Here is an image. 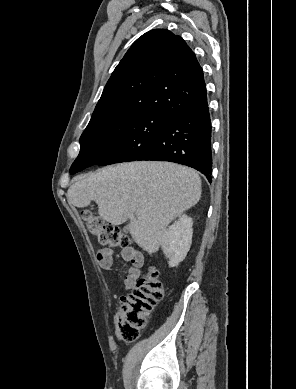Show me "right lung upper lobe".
<instances>
[{
    "label": "right lung upper lobe",
    "mask_w": 296,
    "mask_h": 389,
    "mask_svg": "<svg viewBox=\"0 0 296 389\" xmlns=\"http://www.w3.org/2000/svg\"><path fill=\"white\" fill-rule=\"evenodd\" d=\"M203 70L185 41L168 30L138 38L113 71L92 118L112 112L173 117L207 102Z\"/></svg>",
    "instance_id": "1"
}]
</instances>
